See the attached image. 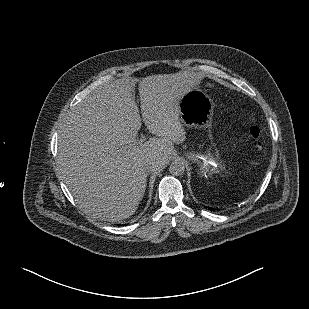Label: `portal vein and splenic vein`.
I'll return each instance as SVG.
<instances>
[{"label": "portal vein and splenic vein", "mask_w": 309, "mask_h": 309, "mask_svg": "<svg viewBox=\"0 0 309 309\" xmlns=\"http://www.w3.org/2000/svg\"><path fill=\"white\" fill-rule=\"evenodd\" d=\"M142 140H144V137H142ZM140 144L142 143V142H139Z\"/></svg>", "instance_id": "1"}]
</instances>
